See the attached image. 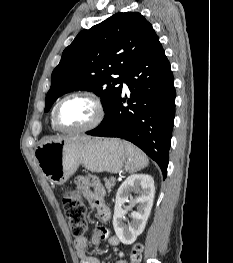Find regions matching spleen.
<instances>
[{
  "instance_id": "obj_1",
  "label": "spleen",
  "mask_w": 233,
  "mask_h": 263,
  "mask_svg": "<svg viewBox=\"0 0 233 263\" xmlns=\"http://www.w3.org/2000/svg\"><path fill=\"white\" fill-rule=\"evenodd\" d=\"M126 149L127 162L125 170L129 173L137 172L149 164L147 156L136 146L129 142H124Z\"/></svg>"
}]
</instances>
